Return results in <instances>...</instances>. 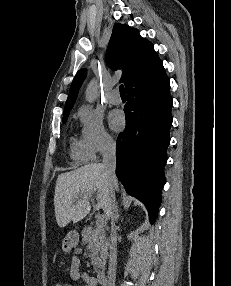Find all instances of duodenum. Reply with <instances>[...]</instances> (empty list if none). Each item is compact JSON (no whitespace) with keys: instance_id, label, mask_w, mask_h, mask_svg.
Returning <instances> with one entry per match:
<instances>
[{"instance_id":"duodenum-1","label":"duodenum","mask_w":231,"mask_h":286,"mask_svg":"<svg viewBox=\"0 0 231 286\" xmlns=\"http://www.w3.org/2000/svg\"><path fill=\"white\" fill-rule=\"evenodd\" d=\"M96 280L98 283L103 284L106 281V273L105 270L101 269L97 272Z\"/></svg>"}]
</instances>
